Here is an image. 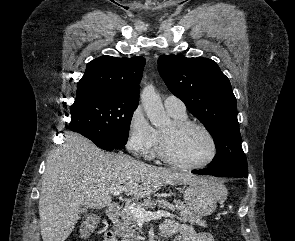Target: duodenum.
Returning <instances> with one entry per match:
<instances>
[{"label": "duodenum", "instance_id": "obj_1", "mask_svg": "<svg viewBox=\"0 0 295 241\" xmlns=\"http://www.w3.org/2000/svg\"><path fill=\"white\" fill-rule=\"evenodd\" d=\"M121 205L118 203H112L108 206L107 214L110 219H116L121 215Z\"/></svg>", "mask_w": 295, "mask_h": 241}]
</instances>
